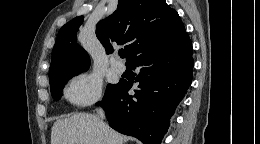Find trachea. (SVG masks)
<instances>
[{
  "label": "trachea",
  "instance_id": "1",
  "mask_svg": "<svg viewBox=\"0 0 260 144\" xmlns=\"http://www.w3.org/2000/svg\"><path fill=\"white\" fill-rule=\"evenodd\" d=\"M118 53L121 58H125V51L123 49L119 50Z\"/></svg>",
  "mask_w": 260,
  "mask_h": 144
}]
</instances>
